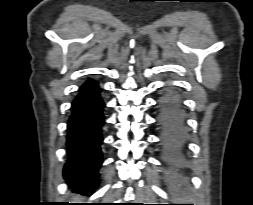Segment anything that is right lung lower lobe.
<instances>
[{
    "instance_id": "right-lung-lower-lobe-1",
    "label": "right lung lower lobe",
    "mask_w": 253,
    "mask_h": 205,
    "mask_svg": "<svg viewBox=\"0 0 253 205\" xmlns=\"http://www.w3.org/2000/svg\"><path fill=\"white\" fill-rule=\"evenodd\" d=\"M98 82L90 79L79 90L72 103L68 121V161L64 178L76 191L90 194L97 187L98 169L102 163L100 144L103 137V108Z\"/></svg>"
}]
</instances>
